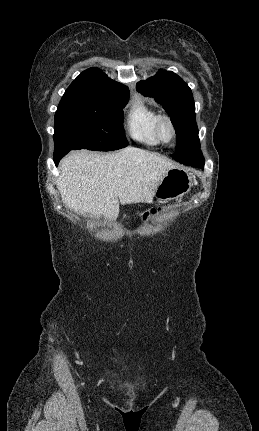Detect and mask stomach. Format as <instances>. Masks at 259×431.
Returning a JSON list of instances; mask_svg holds the SVG:
<instances>
[{"instance_id":"obj_1","label":"stomach","mask_w":259,"mask_h":431,"mask_svg":"<svg viewBox=\"0 0 259 431\" xmlns=\"http://www.w3.org/2000/svg\"><path fill=\"white\" fill-rule=\"evenodd\" d=\"M194 183L193 175L181 167L169 169L160 180L154 196L159 201H169L183 197Z\"/></svg>"}]
</instances>
